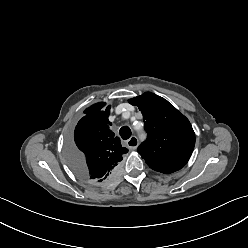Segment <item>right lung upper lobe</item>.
I'll return each instance as SVG.
<instances>
[{
  "instance_id": "cb5924a9",
  "label": "right lung upper lobe",
  "mask_w": 248,
  "mask_h": 248,
  "mask_svg": "<svg viewBox=\"0 0 248 248\" xmlns=\"http://www.w3.org/2000/svg\"><path fill=\"white\" fill-rule=\"evenodd\" d=\"M104 106V102H99L87 108L86 115L80 119L74 132L76 149L81 155L78 173L89 182L109 176L128 152L111 130L112 123L108 119L110 106L106 109Z\"/></svg>"
}]
</instances>
